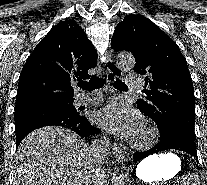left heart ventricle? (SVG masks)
Segmentation results:
<instances>
[{"label":"left heart ventricle","mask_w":207,"mask_h":185,"mask_svg":"<svg viewBox=\"0 0 207 185\" xmlns=\"http://www.w3.org/2000/svg\"><path fill=\"white\" fill-rule=\"evenodd\" d=\"M141 136H142V130L140 131V133L136 137H141Z\"/></svg>","instance_id":"b2bd125f"}]
</instances>
